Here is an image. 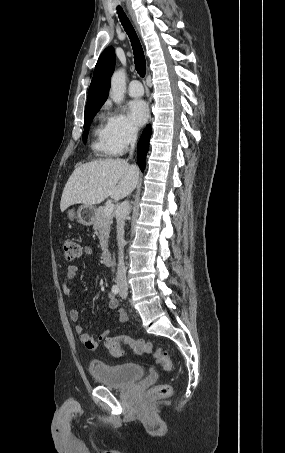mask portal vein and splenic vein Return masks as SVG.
Instances as JSON below:
<instances>
[{"instance_id":"18ae733b","label":"portal vein and splenic vein","mask_w":285,"mask_h":453,"mask_svg":"<svg viewBox=\"0 0 285 453\" xmlns=\"http://www.w3.org/2000/svg\"><path fill=\"white\" fill-rule=\"evenodd\" d=\"M114 210V204H107L105 207H104V212L106 214H112Z\"/></svg>"}]
</instances>
